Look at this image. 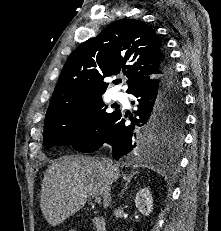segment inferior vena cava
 <instances>
[{"mask_svg":"<svg viewBox=\"0 0 221 231\" xmlns=\"http://www.w3.org/2000/svg\"><path fill=\"white\" fill-rule=\"evenodd\" d=\"M102 162L106 164V166H107L108 169H110V170L113 171V164H112L111 161H109L107 159H103Z\"/></svg>","mask_w":221,"mask_h":231,"instance_id":"602c4592","label":"inferior vena cava"}]
</instances>
